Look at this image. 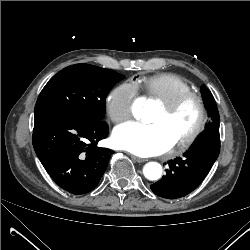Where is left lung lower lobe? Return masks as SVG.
I'll use <instances>...</instances> for the list:
<instances>
[{"label":"left lung lower lobe","instance_id":"0a47b994","mask_svg":"<svg viewBox=\"0 0 250 250\" xmlns=\"http://www.w3.org/2000/svg\"><path fill=\"white\" fill-rule=\"evenodd\" d=\"M219 152V130L203 131L183 157L168 162L166 175L151 185V190L157 196L169 199L187 195L206 177Z\"/></svg>","mask_w":250,"mask_h":250}]
</instances>
